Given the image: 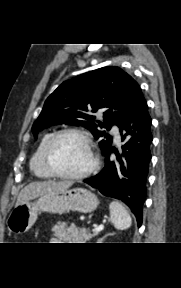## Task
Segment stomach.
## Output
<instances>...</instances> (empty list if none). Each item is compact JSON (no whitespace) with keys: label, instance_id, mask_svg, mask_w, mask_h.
I'll use <instances>...</instances> for the list:
<instances>
[{"label":"stomach","instance_id":"obj_1","mask_svg":"<svg viewBox=\"0 0 181 288\" xmlns=\"http://www.w3.org/2000/svg\"><path fill=\"white\" fill-rule=\"evenodd\" d=\"M98 204L97 197L84 188L50 192L38 197L36 201L15 206L7 219V226L11 232L25 233L34 225L39 212L62 214L74 210L90 213Z\"/></svg>","mask_w":181,"mask_h":288}]
</instances>
